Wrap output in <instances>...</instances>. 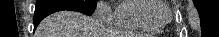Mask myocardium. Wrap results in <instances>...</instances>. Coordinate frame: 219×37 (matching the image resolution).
<instances>
[{
    "mask_svg": "<svg viewBox=\"0 0 219 37\" xmlns=\"http://www.w3.org/2000/svg\"><path fill=\"white\" fill-rule=\"evenodd\" d=\"M156 2L159 3V8L156 11L151 13V17L155 21L164 25L171 19V11L162 1H156ZM161 11H166L167 14L164 17H161L160 16Z\"/></svg>",
    "mask_w": 219,
    "mask_h": 37,
    "instance_id": "obj_1",
    "label": "myocardium"
}]
</instances>
